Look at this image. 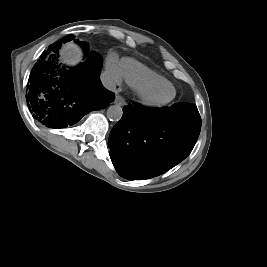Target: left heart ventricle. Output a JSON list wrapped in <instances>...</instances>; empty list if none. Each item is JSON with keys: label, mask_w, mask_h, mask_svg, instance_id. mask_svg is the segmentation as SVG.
Returning <instances> with one entry per match:
<instances>
[{"label": "left heart ventricle", "mask_w": 267, "mask_h": 267, "mask_svg": "<svg viewBox=\"0 0 267 267\" xmlns=\"http://www.w3.org/2000/svg\"><path fill=\"white\" fill-rule=\"evenodd\" d=\"M173 93V90L169 86L159 87L149 91V96L155 100H165L169 98Z\"/></svg>", "instance_id": "obj_1"}]
</instances>
